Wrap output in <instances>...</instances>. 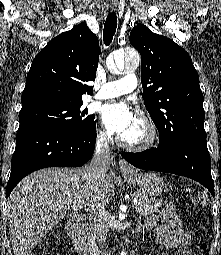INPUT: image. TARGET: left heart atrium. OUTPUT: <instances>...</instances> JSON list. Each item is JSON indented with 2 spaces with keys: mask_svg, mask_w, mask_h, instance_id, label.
<instances>
[{
  "mask_svg": "<svg viewBox=\"0 0 221 255\" xmlns=\"http://www.w3.org/2000/svg\"><path fill=\"white\" fill-rule=\"evenodd\" d=\"M135 116L125 103L111 102L101 109V120L109 134L122 136L135 121Z\"/></svg>",
  "mask_w": 221,
  "mask_h": 255,
  "instance_id": "obj_1",
  "label": "left heart atrium"
}]
</instances>
